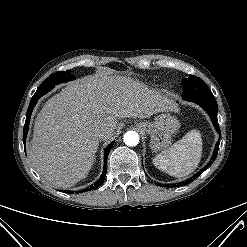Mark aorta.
I'll return each mask as SVG.
<instances>
[{
	"mask_svg": "<svg viewBox=\"0 0 247 247\" xmlns=\"http://www.w3.org/2000/svg\"><path fill=\"white\" fill-rule=\"evenodd\" d=\"M123 141L128 146H136L139 143V135L135 131H128L124 134Z\"/></svg>",
	"mask_w": 247,
	"mask_h": 247,
	"instance_id": "obj_1",
	"label": "aorta"
}]
</instances>
